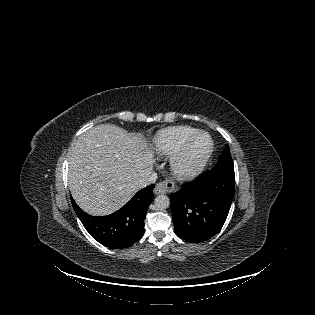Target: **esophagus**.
Returning <instances> with one entry per match:
<instances>
[{"label":"esophagus","mask_w":315,"mask_h":315,"mask_svg":"<svg viewBox=\"0 0 315 315\" xmlns=\"http://www.w3.org/2000/svg\"><path fill=\"white\" fill-rule=\"evenodd\" d=\"M175 188L174 183L171 180L162 181L156 184L154 193L155 194H165L173 191Z\"/></svg>","instance_id":"1"}]
</instances>
